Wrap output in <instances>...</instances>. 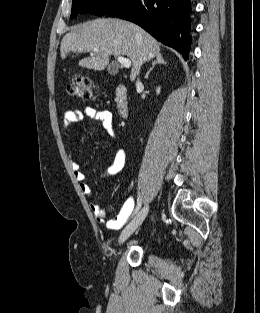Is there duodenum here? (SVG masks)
I'll return each instance as SVG.
<instances>
[{"label":"duodenum","mask_w":260,"mask_h":313,"mask_svg":"<svg viewBox=\"0 0 260 313\" xmlns=\"http://www.w3.org/2000/svg\"><path fill=\"white\" fill-rule=\"evenodd\" d=\"M115 97L119 116L121 118H127L129 116V105L127 101V88L124 84H116Z\"/></svg>","instance_id":"duodenum-1"}]
</instances>
